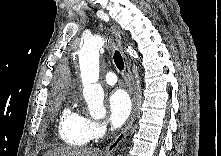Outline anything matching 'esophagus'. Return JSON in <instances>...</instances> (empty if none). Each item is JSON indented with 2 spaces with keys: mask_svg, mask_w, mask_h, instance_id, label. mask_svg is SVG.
Here are the masks:
<instances>
[{
  "mask_svg": "<svg viewBox=\"0 0 221 156\" xmlns=\"http://www.w3.org/2000/svg\"><path fill=\"white\" fill-rule=\"evenodd\" d=\"M112 31L116 37V41L118 43V46H119V49L121 51V55H122V58L124 61L125 74H126V77H127L128 83H129V89H130V93L132 96L133 108H132V114H131L128 124L125 126V128L122 130V132L105 148L104 154L106 156H110L111 154H113L116 151V149L119 147V145L122 143V141L124 140V138L126 136L127 131L131 128V126L134 123V120L136 117V112H137V93H136L135 80H134L133 74L131 72L128 59H127L125 52L123 50L121 35H120L119 31L114 27H112Z\"/></svg>",
  "mask_w": 221,
  "mask_h": 156,
  "instance_id": "esophagus-1",
  "label": "esophagus"
}]
</instances>
